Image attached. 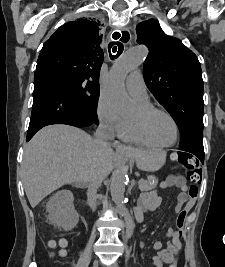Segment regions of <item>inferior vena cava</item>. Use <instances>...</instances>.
<instances>
[{"mask_svg": "<svg viewBox=\"0 0 225 267\" xmlns=\"http://www.w3.org/2000/svg\"><path fill=\"white\" fill-rule=\"evenodd\" d=\"M113 139V131L108 126L101 124L95 133V142L99 151L106 152L108 149H110V141H112ZM105 177L106 169L102 166H97L88 180V194L93 202V207H95V197L97 190Z\"/></svg>", "mask_w": 225, "mask_h": 267, "instance_id": "inferior-vena-cava-1", "label": "inferior vena cava"}]
</instances>
